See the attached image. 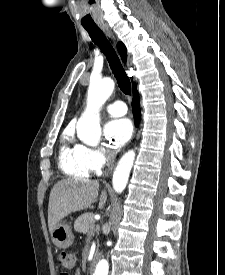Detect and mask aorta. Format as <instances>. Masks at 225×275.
I'll return each mask as SVG.
<instances>
[{"label": "aorta", "mask_w": 225, "mask_h": 275, "mask_svg": "<svg viewBox=\"0 0 225 275\" xmlns=\"http://www.w3.org/2000/svg\"><path fill=\"white\" fill-rule=\"evenodd\" d=\"M114 81L111 78L91 80L87 94V106L79 118L76 131L78 138L84 143L96 146L101 136L99 111L114 90ZM135 160V152H126L119 160L113 173V187L117 193H121L129 179L130 171ZM109 265L106 260L97 264L95 275H108Z\"/></svg>", "instance_id": "aorta-1"}]
</instances>
